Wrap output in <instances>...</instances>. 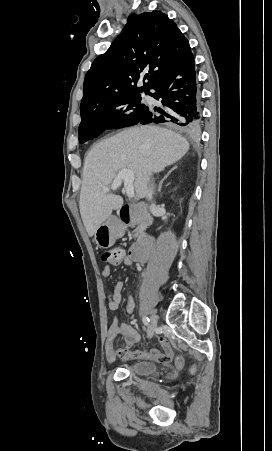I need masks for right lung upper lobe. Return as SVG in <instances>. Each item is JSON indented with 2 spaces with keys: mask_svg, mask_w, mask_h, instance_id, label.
Wrapping results in <instances>:
<instances>
[{
  "mask_svg": "<svg viewBox=\"0 0 272 451\" xmlns=\"http://www.w3.org/2000/svg\"><path fill=\"white\" fill-rule=\"evenodd\" d=\"M189 52L188 40L163 12L130 15L122 33L87 72L80 113L111 100L148 93ZM143 70L148 71L147 82L137 88Z\"/></svg>",
  "mask_w": 272,
  "mask_h": 451,
  "instance_id": "cb5924a9",
  "label": "right lung upper lobe"
}]
</instances>
